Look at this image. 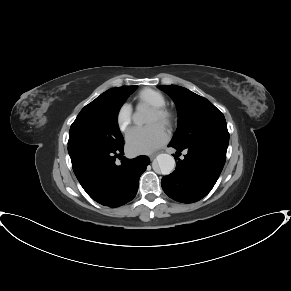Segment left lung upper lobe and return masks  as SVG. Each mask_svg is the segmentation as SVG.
Wrapping results in <instances>:
<instances>
[{"mask_svg": "<svg viewBox=\"0 0 291 291\" xmlns=\"http://www.w3.org/2000/svg\"><path fill=\"white\" fill-rule=\"evenodd\" d=\"M159 88L174 100L178 111V128L170 144L184 147L198 141L229 140L224 115L209 100L176 85Z\"/></svg>", "mask_w": 291, "mask_h": 291, "instance_id": "left-lung-upper-lobe-1", "label": "left lung upper lobe"}]
</instances>
